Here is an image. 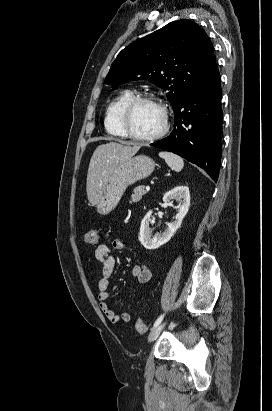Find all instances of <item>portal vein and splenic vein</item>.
I'll list each match as a JSON object with an SVG mask.
<instances>
[{"mask_svg": "<svg viewBox=\"0 0 272 411\" xmlns=\"http://www.w3.org/2000/svg\"><path fill=\"white\" fill-rule=\"evenodd\" d=\"M146 190L149 191V190H150V186L147 185V186H146Z\"/></svg>", "mask_w": 272, "mask_h": 411, "instance_id": "portal-vein-and-splenic-vein-1", "label": "portal vein and splenic vein"}]
</instances>
